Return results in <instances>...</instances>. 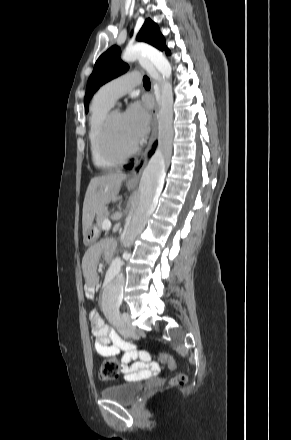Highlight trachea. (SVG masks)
<instances>
[{"label": "trachea", "mask_w": 291, "mask_h": 440, "mask_svg": "<svg viewBox=\"0 0 291 440\" xmlns=\"http://www.w3.org/2000/svg\"><path fill=\"white\" fill-rule=\"evenodd\" d=\"M143 85L146 88L150 87V80H149V78L147 76L143 77Z\"/></svg>", "instance_id": "trachea-1"}]
</instances>
